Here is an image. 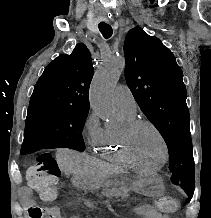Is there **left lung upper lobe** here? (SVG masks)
I'll use <instances>...</instances> for the list:
<instances>
[{"instance_id":"1","label":"left lung upper lobe","mask_w":211,"mask_h":218,"mask_svg":"<svg viewBox=\"0 0 211 218\" xmlns=\"http://www.w3.org/2000/svg\"><path fill=\"white\" fill-rule=\"evenodd\" d=\"M124 54L127 85L167 143L171 180L191 198L195 166L182 71L173 53L139 27L128 32Z\"/></svg>"}]
</instances>
